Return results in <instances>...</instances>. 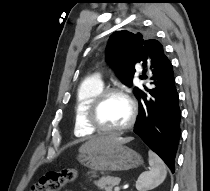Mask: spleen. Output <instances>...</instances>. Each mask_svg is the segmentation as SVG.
Instances as JSON below:
<instances>
[{"instance_id":"obj_1","label":"spleen","mask_w":210,"mask_h":191,"mask_svg":"<svg viewBox=\"0 0 210 191\" xmlns=\"http://www.w3.org/2000/svg\"><path fill=\"white\" fill-rule=\"evenodd\" d=\"M150 170L140 174L136 181L138 191L152 190L159 186L166 178L167 170L161 158L152 151L148 152Z\"/></svg>"}]
</instances>
